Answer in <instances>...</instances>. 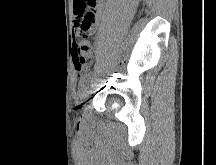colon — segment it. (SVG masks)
I'll list each match as a JSON object with an SVG mask.
<instances>
[{
	"label": "colon",
	"mask_w": 216,
	"mask_h": 165,
	"mask_svg": "<svg viewBox=\"0 0 216 165\" xmlns=\"http://www.w3.org/2000/svg\"><path fill=\"white\" fill-rule=\"evenodd\" d=\"M94 17L91 12H87L81 23L75 29L77 42L74 48V61L78 71H82L92 58V48L90 38L93 33Z\"/></svg>",
	"instance_id": "5ec220e1"
}]
</instances>
